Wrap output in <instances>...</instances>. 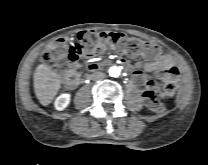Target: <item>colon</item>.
<instances>
[{
	"label": "colon",
	"mask_w": 208,
	"mask_h": 165,
	"mask_svg": "<svg viewBox=\"0 0 208 165\" xmlns=\"http://www.w3.org/2000/svg\"><path fill=\"white\" fill-rule=\"evenodd\" d=\"M107 45H113L120 53L137 56H155L159 52L157 45L126 36L117 32H99L94 30L79 33L77 42L69 45L64 39L52 42L43 52L42 61L51 67L60 66L65 61H77L80 58H90L103 51ZM175 92V85L168 83L161 90L163 97H170ZM155 110H160L161 105L152 102Z\"/></svg>",
	"instance_id": "obj_1"
}]
</instances>
